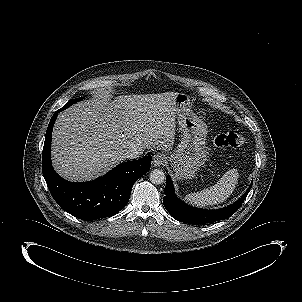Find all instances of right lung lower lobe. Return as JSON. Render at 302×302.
Here are the masks:
<instances>
[{
  "mask_svg": "<svg viewBox=\"0 0 302 302\" xmlns=\"http://www.w3.org/2000/svg\"><path fill=\"white\" fill-rule=\"evenodd\" d=\"M60 111L50 120L42 153V171L52 197L66 212L85 221L116 214L127 205L133 184L150 170L152 157L121 163L90 182H68L54 171L50 157L52 129Z\"/></svg>",
  "mask_w": 302,
  "mask_h": 302,
  "instance_id": "98d812e1",
  "label": "right lung lower lobe"
}]
</instances>
